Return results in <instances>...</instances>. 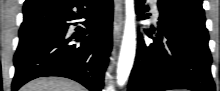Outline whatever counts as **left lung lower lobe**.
<instances>
[{
  "label": "left lung lower lobe",
  "mask_w": 220,
  "mask_h": 91,
  "mask_svg": "<svg viewBox=\"0 0 220 91\" xmlns=\"http://www.w3.org/2000/svg\"><path fill=\"white\" fill-rule=\"evenodd\" d=\"M144 3L136 0V12L143 20L148 18ZM158 9L157 32L145 29L153 42L145 41L141 34L138 37L128 91H215L204 14L160 0Z\"/></svg>",
  "instance_id": "obj_1"
}]
</instances>
